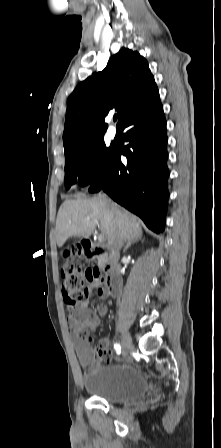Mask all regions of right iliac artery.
<instances>
[{"label": "right iliac artery", "mask_w": 221, "mask_h": 448, "mask_svg": "<svg viewBox=\"0 0 221 448\" xmlns=\"http://www.w3.org/2000/svg\"><path fill=\"white\" fill-rule=\"evenodd\" d=\"M114 348H115V350H116V352H117L118 354L121 353V346H120V344H115V345H114Z\"/></svg>", "instance_id": "right-iliac-artery-1"}]
</instances>
